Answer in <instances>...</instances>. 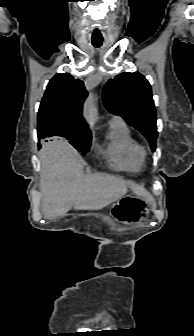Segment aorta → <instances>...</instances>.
Returning a JSON list of instances; mask_svg holds the SVG:
<instances>
[{
	"label": "aorta",
	"instance_id": "aorta-1",
	"mask_svg": "<svg viewBox=\"0 0 194 336\" xmlns=\"http://www.w3.org/2000/svg\"><path fill=\"white\" fill-rule=\"evenodd\" d=\"M84 118L87 123L92 127L94 126L97 120V108L95 104V96L93 93H90L88 98L84 103Z\"/></svg>",
	"mask_w": 194,
	"mask_h": 336
}]
</instances>
